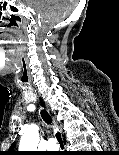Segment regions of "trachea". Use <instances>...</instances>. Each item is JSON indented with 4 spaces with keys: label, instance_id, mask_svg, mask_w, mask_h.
I'll return each mask as SVG.
<instances>
[{
    "label": "trachea",
    "instance_id": "obj_1",
    "mask_svg": "<svg viewBox=\"0 0 119 155\" xmlns=\"http://www.w3.org/2000/svg\"><path fill=\"white\" fill-rule=\"evenodd\" d=\"M41 116H42L43 120L47 124H51L52 123V119H51L49 113L46 110H42L41 111ZM56 138H57V141L59 142V144L62 146L63 145V139L61 137V134L60 133H57L56 134Z\"/></svg>",
    "mask_w": 119,
    "mask_h": 155
}]
</instances>
